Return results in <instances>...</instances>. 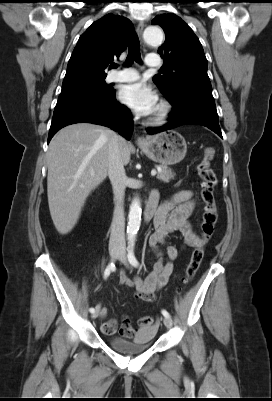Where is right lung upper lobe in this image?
<instances>
[{"mask_svg": "<svg viewBox=\"0 0 272 401\" xmlns=\"http://www.w3.org/2000/svg\"><path fill=\"white\" fill-rule=\"evenodd\" d=\"M131 21L107 14L80 36L67 65L62 90L104 80L105 69L127 48Z\"/></svg>", "mask_w": 272, "mask_h": 401, "instance_id": "cb5924a9", "label": "right lung upper lobe"}]
</instances>
